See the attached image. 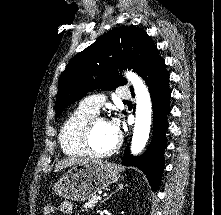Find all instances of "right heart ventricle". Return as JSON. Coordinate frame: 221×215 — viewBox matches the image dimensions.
<instances>
[{"label":"right heart ventricle","instance_id":"1","mask_svg":"<svg viewBox=\"0 0 221 215\" xmlns=\"http://www.w3.org/2000/svg\"><path fill=\"white\" fill-rule=\"evenodd\" d=\"M94 115L96 114L79 107L66 119L59 133V142L66 155L85 156L88 154L83 147L82 135L87 121Z\"/></svg>","mask_w":221,"mask_h":215}]
</instances>
